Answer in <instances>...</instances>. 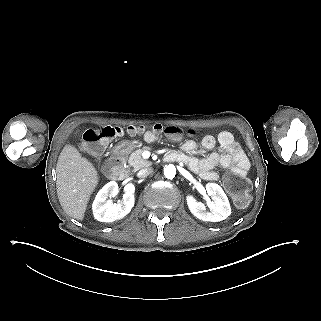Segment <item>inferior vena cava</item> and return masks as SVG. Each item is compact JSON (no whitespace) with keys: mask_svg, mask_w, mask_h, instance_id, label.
I'll use <instances>...</instances> for the list:
<instances>
[{"mask_svg":"<svg viewBox=\"0 0 321 321\" xmlns=\"http://www.w3.org/2000/svg\"><path fill=\"white\" fill-rule=\"evenodd\" d=\"M152 172H153V168L148 167V168H145V169L140 170V171L138 172L137 176H138L139 178H145V177L151 175Z\"/></svg>","mask_w":321,"mask_h":321,"instance_id":"1","label":"inferior vena cava"}]
</instances>
